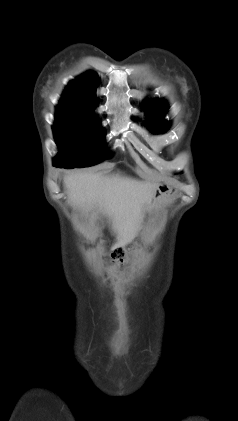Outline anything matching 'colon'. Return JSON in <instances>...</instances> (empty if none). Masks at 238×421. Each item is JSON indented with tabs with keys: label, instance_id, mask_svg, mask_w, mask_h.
Returning <instances> with one entry per match:
<instances>
[{
	"label": "colon",
	"instance_id": "1",
	"mask_svg": "<svg viewBox=\"0 0 238 421\" xmlns=\"http://www.w3.org/2000/svg\"><path fill=\"white\" fill-rule=\"evenodd\" d=\"M133 248V245H129L126 249H117L113 254L114 262L116 265H120L124 262L126 254Z\"/></svg>",
	"mask_w": 238,
	"mask_h": 421
}]
</instances>
